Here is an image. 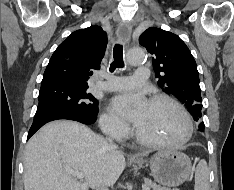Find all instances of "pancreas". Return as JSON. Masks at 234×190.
<instances>
[{
    "label": "pancreas",
    "instance_id": "1",
    "mask_svg": "<svg viewBox=\"0 0 234 190\" xmlns=\"http://www.w3.org/2000/svg\"><path fill=\"white\" fill-rule=\"evenodd\" d=\"M144 184L145 186L152 188L153 190H171L165 187H160L159 185H156L155 183H153L150 179H144ZM172 190H179V189H172Z\"/></svg>",
    "mask_w": 234,
    "mask_h": 190
}]
</instances>
